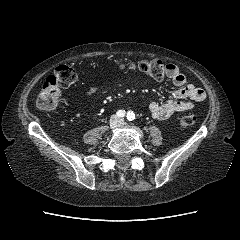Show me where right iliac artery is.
<instances>
[{
  "label": "right iliac artery",
  "mask_w": 240,
  "mask_h": 240,
  "mask_svg": "<svg viewBox=\"0 0 240 240\" xmlns=\"http://www.w3.org/2000/svg\"><path fill=\"white\" fill-rule=\"evenodd\" d=\"M117 116H118L119 118L124 117V116H125V111H124V110H119V111L117 112Z\"/></svg>",
  "instance_id": "right-iliac-artery-1"
}]
</instances>
